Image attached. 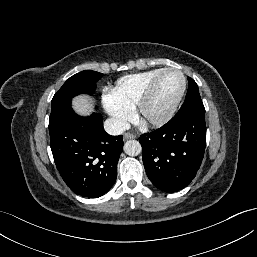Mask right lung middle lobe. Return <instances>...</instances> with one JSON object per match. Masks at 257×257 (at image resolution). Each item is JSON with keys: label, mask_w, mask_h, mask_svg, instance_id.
Returning <instances> with one entry per match:
<instances>
[{"label": "right lung middle lobe", "mask_w": 257, "mask_h": 257, "mask_svg": "<svg viewBox=\"0 0 257 257\" xmlns=\"http://www.w3.org/2000/svg\"><path fill=\"white\" fill-rule=\"evenodd\" d=\"M102 77V73L90 70L79 72L70 77L52 99L49 121L71 109V100L74 96L82 93L92 95L96 88V82Z\"/></svg>", "instance_id": "1"}]
</instances>
